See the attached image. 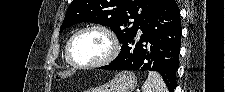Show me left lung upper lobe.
<instances>
[{
  "instance_id": "1",
  "label": "left lung upper lobe",
  "mask_w": 225,
  "mask_h": 92,
  "mask_svg": "<svg viewBox=\"0 0 225 92\" xmlns=\"http://www.w3.org/2000/svg\"><path fill=\"white\" fill-rule=\"evenodd\" d=\"M165 0H73L60 32L79 22L109 26L120 43L132 38L145 18ZM134 19V22H130ZM133 23L132 26H130Z\"/></svg>"
}]
</instances>
